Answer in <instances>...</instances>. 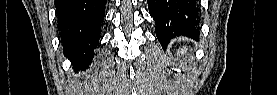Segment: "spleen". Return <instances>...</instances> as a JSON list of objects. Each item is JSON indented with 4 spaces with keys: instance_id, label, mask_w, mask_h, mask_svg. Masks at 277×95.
<instances>
[{
    "instance_id": "spleen-1",
    "label": "spleen",
    "mask_w": 277,
    "mask_h": 95,
    "mask_svg": "<svg viewBox=\"0 0 277 95\" xmlns=\"http://www.w3.org/2000/svg\"><path fill=\"white\" fill-rule=\"evenodd\" d=\"M180 52H181V54H184L185 50H184V49H182Z\"/></svg>"
}]
</instances>
